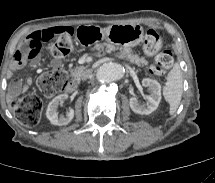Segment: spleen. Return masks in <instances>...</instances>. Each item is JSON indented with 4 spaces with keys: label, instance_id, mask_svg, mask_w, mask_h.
I'll return each mask as SVG.
<instances>
[{
    "label": "spleen",
    "instance_id": "spleen-1",
    "mask_svg": "<svg viewBox=\"0 0 215 183\" xmlns=\"http://www.w3.org/2000/svg\"><path fill=\"white\" fill-rule=\"evenodd\" d=\"M183 93V77L179 65H175L168 73L167 84L163 88V96L170 105V114H174L180 105Z\"/></svg>",
    "mask_w": 215,
    "mask_h": 183
}]
</instances>
